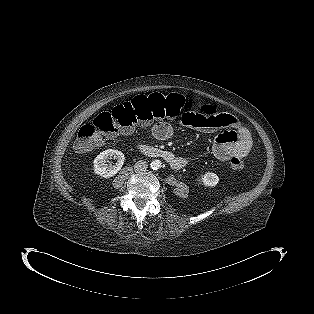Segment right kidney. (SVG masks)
Instances as JSON below:
<instances>
[{
  "instance_id": "right-kidney-1",
  "label": "right kidney",
  "mask_w": 314,
  "mask_h": 314,
  "mask_svg": "<svg viewBox=\"0 0 314 314\" xmlns=\"http://www.w3.org/2000/svg\"><path fill=\"white\" fill-rule=\"evenodd\" d=\"M112 156L117 159V163L115 165H108V158ZM124 159V154L121 151L107 149L97 155V157L94 159V172L104 178L113 177L122 168Z\"/></svg>"
}]
</instances>
